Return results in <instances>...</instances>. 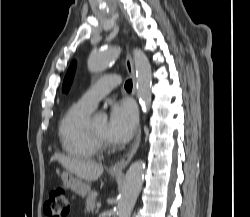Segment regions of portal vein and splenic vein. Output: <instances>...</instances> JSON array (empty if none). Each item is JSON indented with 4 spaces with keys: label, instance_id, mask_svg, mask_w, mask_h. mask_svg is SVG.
<instances>
[{
    "label": "portal vein and splenic vein",
    "instance_id": "18ae733b",
    "mask_svg": "<svg viewBox=\"0 0 250 217\" xmlns=\"http://www.w3.org/2000/svg\"><path fill=\"white\" fill-rule=\"evenodd\" d=\"M96 206H97V208H100L101 207V202H97Z\"/></svg>",
    "mask_w": 250,
    "mask_h": 217
}]
</instances>
